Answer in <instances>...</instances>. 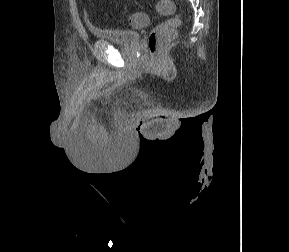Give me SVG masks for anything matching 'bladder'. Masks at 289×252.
<instances>
[{
  "label": "bladder",
  "instance_id": "bladder-1",
  "mask_svg": "<svg viewBox=\"0 0 289 252\" xmlns=\"http://www.w3.org/2000/svg\"><path fill=\"white\" fill-rule=\"evenodd\" d=\"M91 31L97 39L125 47H132L140 40L139 32L133 30L116 28H92Z\"/></svg>",
  "mask_w": 289,
  "mask_h": 252
}]
</instances>
